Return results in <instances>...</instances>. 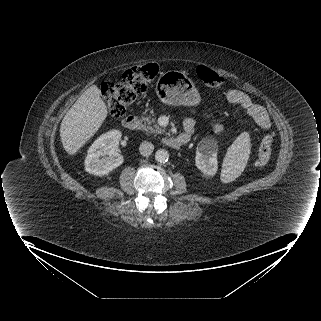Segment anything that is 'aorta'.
I'll use <instances>...</instances> for the list:
<instances>
[{
    "mask_svg": "<svg viewBox=\"0 0 321 321\" xmlns=\"http://www.w3.org/2000/svg\"><path fill=\"white\" fill-rule=\"evenodd\" d=\"M169 159V153L165 149H159L155 153V160L159 163H165Z\"/></svg>",
    "mask_w": 321,
    "mask_h": 321,
    "instance_id": "obj_1",
    "label": "aorta"
}]
</instances>
